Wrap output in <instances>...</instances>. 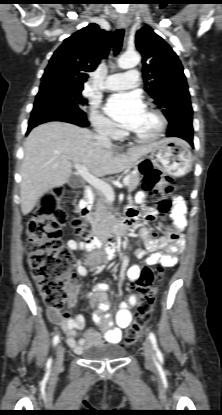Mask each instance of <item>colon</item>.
<instances>
[{"label": "colon", "instance_id": "1", "mask_svg": "<svg viewBox=\"0 0 222 415\" xmlns=\"http://www.w3.org/2000/svg\"><path fill=\"white\" fill-rule=\"evenodd\" d=\"M142 173L145 191L165 195L174 191L171 178L163 177L152 166L144 164ZM63 196L64 189L61 186L44 194L27 224L29 266L46 306L53 310H61L76 287L73 274L75 259L71 250L62 243V228L69 224L82 241L89 244L92 240L91 230L84 220L79 216L69 217L60 207ZM172 206L171 201L162 199L158 209L161 213H167ZM161 271L145 268L139 275L136 289L140 301L134 324L125 333V345L133 344L150 320L155 305L150 288Z\"/></svg>", "mask_w": 222, "mask_h": 415}]
</instances>
